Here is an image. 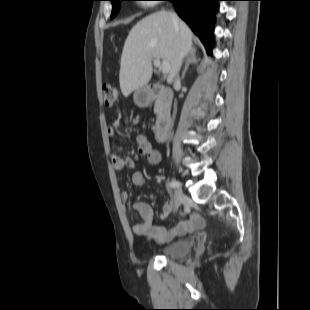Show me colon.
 I'll return each mask as SVG.
<instances>
[{"label": "colon", "mask_w": 310, "mask_h": 310, "mask_svg": "<svg viewBox=\"0 0 310 310\" xmlns=\"http://www.w3.org/2000/svg\"><path fill=\"white\" fill-rule=\"evenodd\" d=\"M117 97L118 91L114 86L110 84H105L103 86L102 101L106 107H112L116 103Z\"/></svg>", "instance_id": "colon-1"}]
</instances>
